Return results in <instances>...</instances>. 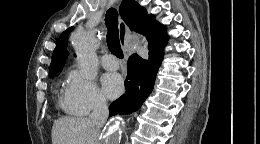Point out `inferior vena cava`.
Returning a JSON list of instances; mask_svg holds the SVG:
<instances>
[{
	"instance_id": "obj_1",
	"label": "inferior vena cava",
	"mask_w": 260,
	"mask_h": 144,
	"mask_svg": "<svg viewBox=\"0 0 260 144\" xmlns=\"http://www.w3.org/2000/svg\"><path fill=\"white\" fill-rule=\"evenodd\" d=\"M109 110L104 99H97L90 115V123L99 130L106 122Z\"/></svg>"
}]
</instances>
